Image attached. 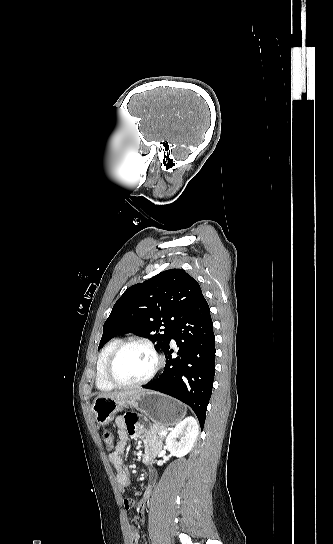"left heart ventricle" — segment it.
I'll use <instances>...</instances> for the list:
<instances>
[{
	"label": "left heart ventricle",
	"instance_id": "1",
	"mask_svg": "<svg viewBox=\"0 0 333 544\" xmlns=\"http://www.w3.org/2000/svg\"><path fill=\"white\" fill-rule=\"evenodd\" d=\"M153 366L152 354L141 346L132 345L118 356L114 365V375L122 382L132 383L148 376Z\"/></svg>",
	"mask_w": 333,
	"mask_h": 544
}]
</instances>
